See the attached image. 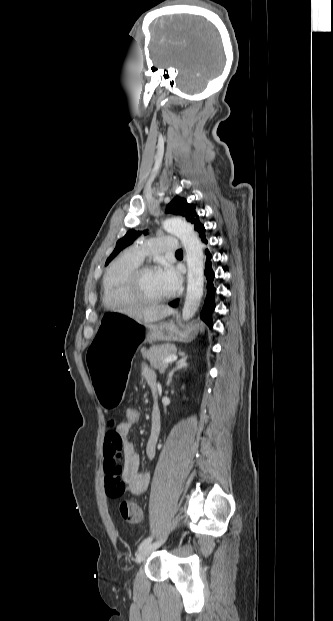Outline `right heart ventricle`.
<instances>
[{"label": "right heart ventricle", "mask_w": 333, "mask_h": 621, "mask_svg": "<svg viewBox=\"0 0 333 621\" xmlns=\"http://www.w3.org/2000/svg\"><path fill=\"white\" fill-rule=\"evenodd\" d=\"M139 264V261L127 253L110 265L102 282V300L105 306L120 307L134 304L125 295L123 286L129 273Z\"/></svg>", "instance_id": "1"}]
</instances>
